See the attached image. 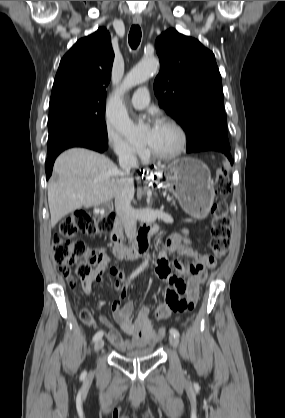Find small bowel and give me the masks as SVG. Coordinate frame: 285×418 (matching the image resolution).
Returning a JSON list of instances; mask_svg holds the SVG:
<instances>
[{"label":"small bowel","mask_w":285,"mask_h":418,"mask_svg":"<svg viewBox=\"0 0 285 418\" xmlns=\"http://www.w3.org/2000/svg\"><path fill=\"white\" fill-rule=\"evenodd\" d=\"M165 247L184 258L196 261V263L185 267L177 261H170L164 257L156 261L155 272L158 284L164 287L165 292V301L155 310L154 316L157 320H165L173 313L188 310L186 304L190 301L194 303L198 299L200 287L206 279L207 257L188 248L185 245V239L178 235L169 236L165 241ZM105 274H110L115 278L113 284L120 292L119 298L111 306V311L122 331L131 336L129 341H124L108 317L101 315L99 320L108 329V340L123 352L133 347L142 348L153 345L156 339L150 319V309L143 307L135 315L133 303L124 302L127 297V280L119 267L112 265L108 259L95 266L91 276L82 280V286L86 293L91 292L94 282H104ZM184 275L187 276V279H184ZM66 281L70 287H74L76 284L75 278L70 274L66 275ZM69 281H72V284H69ZM80 317L88 326H93L95 323L87 308L81 310Z\"/></svg>","instance_id":"small-bowel-1"}]
</instances>
